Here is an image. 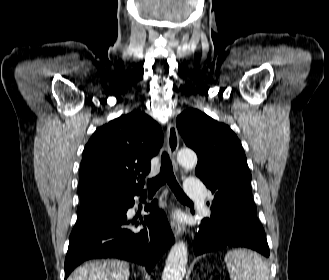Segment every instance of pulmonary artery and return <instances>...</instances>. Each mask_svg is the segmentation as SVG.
I'll return each instance as SVG.
<instances>
[{
	"label": "pulmonary artery",
	"mask_w": 329,
	"mask_h": 280,
	"mask_svg": "<svg viewBox=\"0 0 329 280\" xmlns=\"http://www.w3.org/2000/svg\"><path fill=\"white\" fill-rule=\"evenodd\" d=\"M186 195L194 201H203L206 195V189L204 184L195 177L189 178L184 186Z\"/></svg>",
	"instance_id": "pulmonary-artery-1"
}]
</instances>
